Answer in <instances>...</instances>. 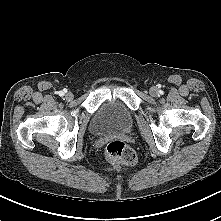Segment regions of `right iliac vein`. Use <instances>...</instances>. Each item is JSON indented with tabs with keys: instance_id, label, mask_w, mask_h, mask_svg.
<instances>
[{
	"instance_id": "obj_1",
	"label": "right iliac vein",
	"mask_w": 221,
	"mask_h": 221,
	"mask_svg": "<svg viewBox=\"0 0 221 221\" xmlns=\"http://www.w3.org/2000/svg\"><path fill=\"white\" fill-rule=\"evenodd\" d=\"M67 100H72L73 99V94L71 92H67L65 95Z\"/></svg>"
}]
</instances>
